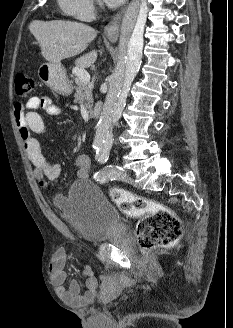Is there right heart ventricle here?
I'll list each match as a JSON object with an SVG mask.
<instances>
[{
	"mask_svg": "<svg viewBox=\"0 0 233 328\" xmlns=\"http://www.w3.org/2000/svg\"><path fill=\"white\" fill-rule=\"evenodd\" d=\"M60 6L64 9V6H63V1L62 0H58Z\"/></svg>",
	"mask_w": 233,
	"mask_h": 328,
	"instance_id": "e07e8e85",
	"label": "right heart ventricle"
}]
</instances>
